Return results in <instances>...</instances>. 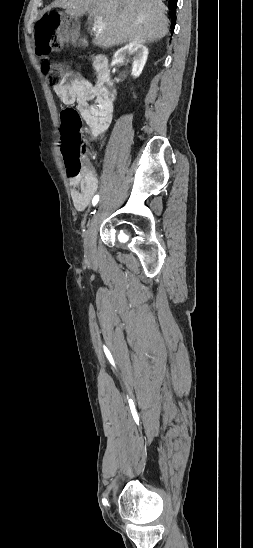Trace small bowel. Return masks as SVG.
<instances>
[{"label": "small bowel", "mask_w": 253, "mask_h": 548, "mask_svg": "<svg viewBox=\"0 0 253 548\" xmlns=\"http://www.w3.org/2000/svg\"><path fill=\"white\" fill-rule=\"evenodd\" d=\"M54 92L63 105L76 104L87 124L90 140H95L106 131L113 116V101L80 73L67 72L61 83L54 87ZM69 184L74 208L77 211L87 210L99 189V179L87 157L83 159L81 172L77 176H69Z\"/></svg>", "instance_id": "1"}]
</instances>
